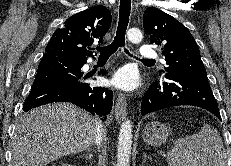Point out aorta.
I'll list each match as a JSON object with an SVG mask.
<instances>
[{
    "label": "aorta",
    "mask_w": 231,
    "mask_h": 166,
    "mask_svg": "<svg viewBox=\"0 0 231 166\" xmlns=\"http://www.w3.org/2000/svg\"><path fill=\"white\" fill-rule=\"evenodd\" d=\"M128 40L134 44L142 41V33L137 28L129 29L127 32ZM132 145V124L129 119H126L121 125L118 149H117V166H129V159Z\"/></svg>",
    "instance_id": "1"
}]
</instances>
